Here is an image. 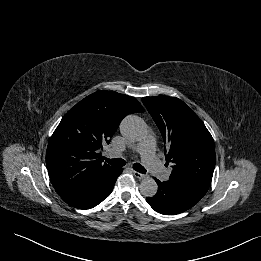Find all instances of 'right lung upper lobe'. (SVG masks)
<instances>
[{
	"mask_svg": "<svg viewBox=\"0 0 261 261\" xmlns=\"http://www.w3.org/2000/svg\"><path fill=\"white\" fill-rule=\"evenodd\" d=\"M144 112L134 98L97 91L73 106L54 131L46 151L52 184L61 196L87 186L113 170L100 150L128 114Z\"/></svg>",
	"mask_w": 261,
	"mask_h": 261,
	"instance_id": "1",
	"label": "right lung upper lobe"
}]
</instances>
